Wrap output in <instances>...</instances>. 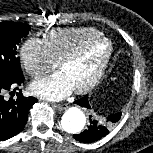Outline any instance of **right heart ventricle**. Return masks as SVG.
Here are the masks:
<instances>
[{"instance_id":"e07e8e85","label":"right heart ventricle","mask_w":153,"mask_h":153,"mask_svg":"<svg viewBox=\"0 0 153 153\" xmlns=\"http://www.w3.org/2000/svg\"><path fill=\"white\" fill-rule=\"evenodd\" d=\"M99 35L101 32L92 27L53 29L44 35L43 41L53 59L59 63L84 42Z\"/></svg>"}]
</instances>
